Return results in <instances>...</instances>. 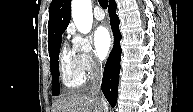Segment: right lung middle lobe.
<instances>
[{
    "mask_svg": "<svg viewBox=\"0 0 193 112\" xmlns=\"http://www.w3.org/2000/svg\"><path fill=\"white\" fill-rule=\"evenodd\" d=\"M62 41V34H60L53 43L49 46V56L52 73V94L57 96L60 94L59 90V50Z\"/></svg>",
    "mask_w": 193,
    "mask_h": 112,
    "instance_id": "right-lung-middle-lobe-1",
    "label": "right lung middle lobe"
}]
</instances>
